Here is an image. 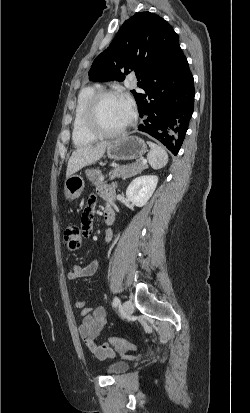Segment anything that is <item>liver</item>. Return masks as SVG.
Segmentation results:
<instances>
[{
	"label": "liver",
	"mask_w": 250,
	"mask_h": 413,
	"mask_svg": "<svg viewBox=\"0 0 250 413\" xmlns=\"http://www.w3.org/2000/svg\"><path fill=\"white\" fill-rule=\"evenodd\" d=\"M108 144L109 142H100L96 145L88 144L74 150L68 160L66 177L68 178L83 167L97 162L105 153Z\"/></svg>",
	"instance_id": "6515ba94"
}]
</instances>
